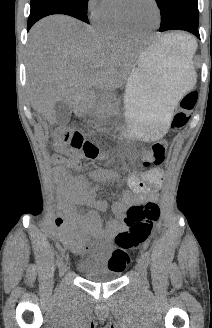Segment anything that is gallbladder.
I'll return each mask as SVG.
<instances>
[{
  "instance_id": "bac80fb5",
  "label": "gallbladder",
  "mask_w": 212,
  "mask_h": 328,
  "mask_svg": "<svg viewBox=\"0 0 212 328\" xmlns=\"http://www.w3.org/2000/svg\"><path fill=\"white\" fill-rule=\"evenodd\" d=\"M56 124L66 125L72 114V106L65 101H58L55 104Z\"/></svg>"
}]
</instances>
